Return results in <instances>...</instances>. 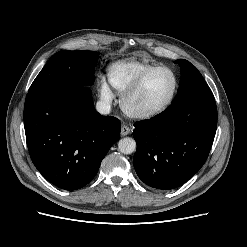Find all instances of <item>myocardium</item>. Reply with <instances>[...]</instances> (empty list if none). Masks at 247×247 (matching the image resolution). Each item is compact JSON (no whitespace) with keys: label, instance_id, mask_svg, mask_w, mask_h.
<instances>
[{"label":"myocardium","instance_id":"1","mask_svg":"<svg viewBox=\"0 0 247 247\" xmlns=\"http://www.w3.org/2000/svg\"><path fill=\"white\" fill-rule=\"evenodd\" d=\"M158 70L168 71L173 78V89L167 100L161 105L152 109H136L131 105L132 99L143 85L146 78ZM179 88V81L176 73L168 66L156 65L142 72L134 82L126 89L121 97V107L124 112L133 118L149 119L163 113L174 101Z\"/></svg>","mask_w":247,"mask_h":247}]
</instances>
